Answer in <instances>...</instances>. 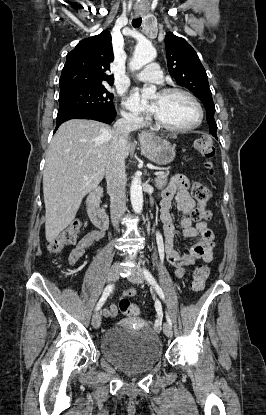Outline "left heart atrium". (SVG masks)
I'll use <instances>...</instances> for the list:
<instances>
[{"label": "left heart atrium", "mask_w": 266, "mask_h": 415, "mask_svg": "<svg viewBox=\"0 0 266 415\" xmlns=\"http://www.w3.org/2000/svg\"><path fill=\"white\" fill-rule=\"evenodd\" d=\"M126 105L129 108L133 109V110L146 109V110H149L151 112L156 111V107L154 105H151L149 107H146V106L142 105L139 93L137 91H135L131 94V96L129 97V99L126 102Z\"/></svg>", "instance_id": "39dd6f15"}]
</instances>
